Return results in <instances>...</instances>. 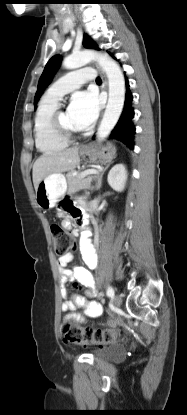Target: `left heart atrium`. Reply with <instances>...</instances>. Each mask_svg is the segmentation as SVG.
Instances as JSON below:
<instances>
[{
  "instance_id": "left-heart-atrium-1",
  "label": "left heart atrium",
  "mask_w": 187,
  "mask_h": 415,
  "mask_svg": "<svg viewBox=\"0 0 187 415\" xmlns=\"http://www.w3.org/2000/svg\"><path fill=\"white\" fill-rule=\"evenodd\" d=\"M99 111L97 96L90 91L75 93L69 103L67 112L79 129H86L94 123Z\"/></svg>"
}]
</instances>
